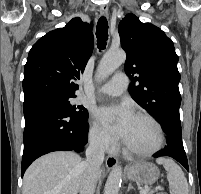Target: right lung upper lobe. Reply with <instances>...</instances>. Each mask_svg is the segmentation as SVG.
<instances>
[{
    "instance_id": "1",
    "label": "right lung upper lobe",
    "mask_w": 201,
    "mask_h": 194,
    "mask_svg": "<svg viewBox=\"0 0 201 194\" xmlns=\"http://www.w3.org/2000/svg\"><path fill=\"white\" fill-rule=\"evenodd\" d=\"M92 50V28L79 17L41 37L24 68V100L45 95L75 97L78 85L74 81L80 79Z\"/></svg>"
}]
</instances>
